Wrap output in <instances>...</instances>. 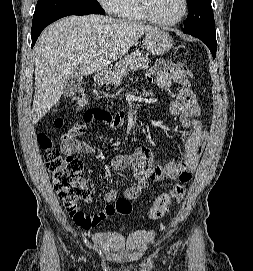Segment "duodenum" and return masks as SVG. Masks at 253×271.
<instances>
[{
	"label": "duodenum",
	"mask_w": 253,
	"mask_h": 271,
	"mask_svg": "<svg viewBox=\"0 0 253 271\" xmlns=\"http://www.w3.org/2000/svg\"><path fill=\"white\" fill-rule=\"evenodd\" d=\"M96 81L98 83H102L104 81V73L103 72H98L95 77ZM122 118V115H117L116 116V121H119Z\"/></svg>",
	"instance_id": "1"
}]
</instances>
